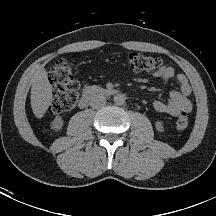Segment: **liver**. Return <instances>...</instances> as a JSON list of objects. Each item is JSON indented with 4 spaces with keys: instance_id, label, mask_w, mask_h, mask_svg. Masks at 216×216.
I'll list each match as a JSON object with an SVG mask.
<instances>
[{
    "instance_id": "liver-1",
    "label": "liver",
    "mask_w": 216,
    "mask_h": 216,
    "mask_svg": "<svg viewBox=\"0 0 216 216\" xmlns=\"http://www.w3.org/2000/svg\"><path fill=\"white\" fill-rule=\"evenodd\" d=\"M53 99L52 85L49 83L45 68H39L32 78L31 107L34 115L42 118Z\"/></svg>"
}]
</instances>
